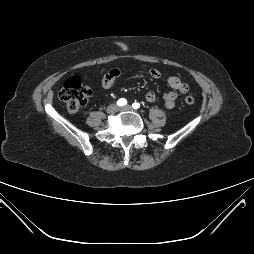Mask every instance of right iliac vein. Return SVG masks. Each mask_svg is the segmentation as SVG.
Listing matches in <instances>:
<instances>
[{"label": "right iliac vein", "mask_w": 254, "mask_h": 254, "mask_svg": "<svg viewBox=\"0 0 254 254\" xmlns=\"http://www.w3.org/2000/svg\"><path fill=\"white\" fill-rule=\"evenodd\" d=\"M119 111V107L115 104H111L107 107L106 112L109 114H113Z\"/></svg>", "instance_id": "right-iliac-vein-1"}]
</instances>
